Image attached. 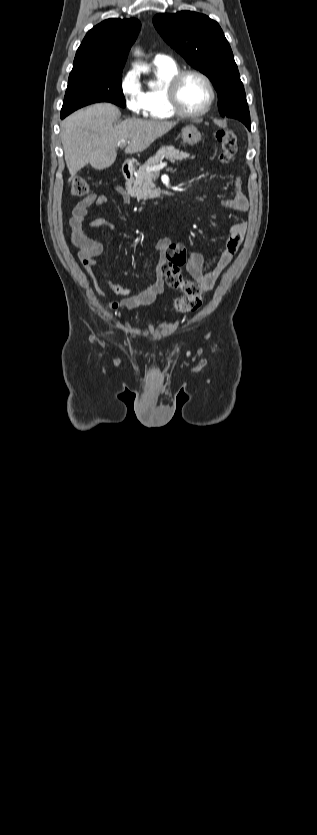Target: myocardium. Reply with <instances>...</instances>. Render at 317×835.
I'll return each instance as SVG.
<instances>
[{
  "mask_svg": "<svg viewBox=\"0 0 317 835\" xmlns=\"http://www.w3.org/2000/svg\"><path fill=\"white\" fill-rule=\"evenodd\" d=\"M189 75H196V76L200 77L205 82V84L207 85L208 90H209V100H208L206 106L201 111L196 112V113L187 112L182 107V104H181V101H180V96H179L182 82ZM167 93H168V98H169L170 105H171L173 111L175 112V114L179 117L187 118V119L199 118V117H202V116L206 115L210 111V109L212 108V106L214 104V101H215V98H216V91H215V87H214V84H213L212 80L209 78L208 75H206L204 72H202L198 69H184V70H180L178 73H176L171 78V80L169 81V84H168V87H167Z\"/></svg>",
  "mask_w": 317,
  "mask_h": 835,
  "instance_id": "1",
  "label": "myocardium"
}]
</instances>
